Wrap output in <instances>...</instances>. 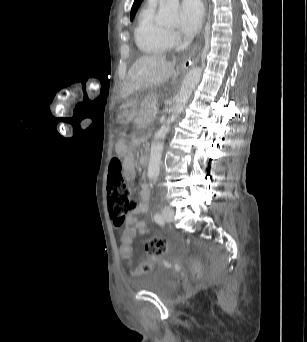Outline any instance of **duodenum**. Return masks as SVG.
Masks as SVG:
<instances>
[{
    "label": "duodenum",
    "mask_w": 307,
    "mask_h": 342,
    "mask_svg": "<svg viewBox=\"0 0 307 342\" xmlns=\"http://www.w3.org/2000/svg\"><path fill=\"white\" fill-rule=\"evenodd\" d=\"M140 162H141L142 165H147L149 163L148 155L147 154L146 155H142L140 157Z\"/></svg>",
    "instance_id": "duodenum-1"
}]
</instances>
